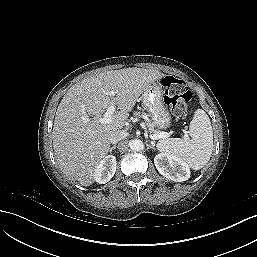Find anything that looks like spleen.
I'll use <instances>...</instances> for the list:
<instances>
[{
	"instance_id": "spleen-1",
	"label": "spleen",
	"mask_w": 257,
	"mask_h": 257,
	"mask_svg": "<svg viewBox=\"0 0 257 257\" xmlns=\"http://www.w3.org/2000/svg\"><path fill=\"white\" fill-rule=\"evenodd\" d=\"M188 133L190 140L164 138L158 141L157 149L162 154L178 157L193 170H200L210 160L213 150L212 126L204 110L195 111Z\"/></svg>"
}]
</instances>
